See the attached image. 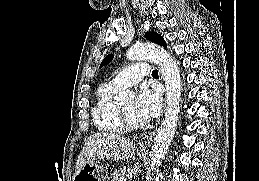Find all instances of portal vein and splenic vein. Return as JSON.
Returning <instances> with one entry per match:
<instances>
[{
    "instance_id": "1",
    "label": "portal vein and splenic vein",
    "mask_w": 259,
    "mask_h": 181,
    "mask_svg": "<svg viewBox=\"0 0 259 181\" xmlns=\"http://www.w3.org/2000/svg\"><path fill=\"white\" fill-rule=\"evenodd\" d=\"M120 181H126V179L125 178H120Z\"/></svg>"
}]
</instances>
